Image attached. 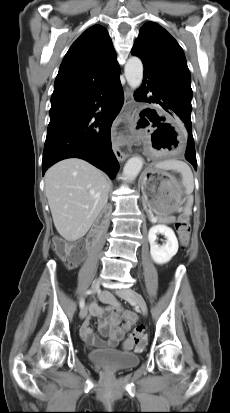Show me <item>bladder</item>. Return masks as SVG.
I'll list each match as a JSON object with an SVG mask.
<instances>
[{
	"instance_id": "obj_1",
	"label": "bladder",
	"mask_w": 230,
	"mask_h": 413,
	"mask_svg": "<svg viewBox=\"0 0 230 413\" xmlns=\"http://www.w3.org/2000/svg\"><path fill=\"white\" fill-rule=\"evenodd\" d=\"M89 359L93 364L110 372L134 368L140 361L136 354L116 350H94L90 352Z\"/></svg>"
}]
</instances>
